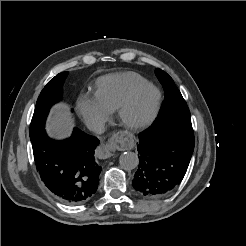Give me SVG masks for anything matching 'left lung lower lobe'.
<instances>
[{
	"label": "left lung lower lobe",
	"instance_id": "0a47b994",
	"mask_svg": "<svg viewBox=\"0 0 246 246\" xmlns=\"http://www.w3.org/2000/svg\"><path fill=\"white\" fill-rule=\"evenodd\" d=\"M191 122L152 124L139 134V167L133 187L141 195L158 198L182 181L193 150Z\"/></svg>",
	"mask_w": 246,
	"mask_h": 246
}]
</instances>
